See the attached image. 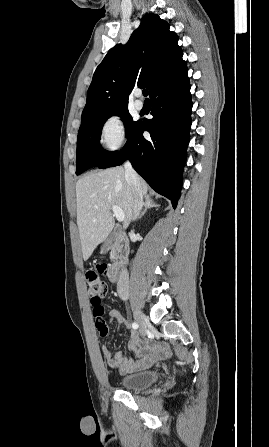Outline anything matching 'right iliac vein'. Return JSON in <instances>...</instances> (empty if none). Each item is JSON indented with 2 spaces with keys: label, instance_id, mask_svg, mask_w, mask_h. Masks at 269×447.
<instances>
[{
  "label": "right iliac vein",
  "instance_id": "1",
  "mask_svg": "<svg viewBox=\"0 0 269 447\" xmlns=\"http://www.w3.org/2000/svg\"><path fill=\"white\" fill-rule=\"evenodd\" d=\"M134 318L137 322V324L139 325V329L141 334H145L146 330H147V326L149 324V320L148 318L140 311L136 310L134 313Z\"/></svg>",
  "mask_w": 269,
  "mask_h": 447
}]
</instances>
